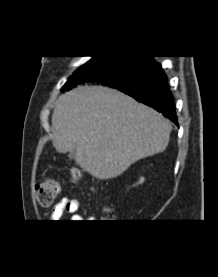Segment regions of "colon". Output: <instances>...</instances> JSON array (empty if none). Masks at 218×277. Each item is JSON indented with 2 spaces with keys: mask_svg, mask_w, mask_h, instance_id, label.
<instances>
[{
  "mask_svg": "<svg viewBox=\"0 0 218 277\" xmlns=\"http://www.w3.org/2000/svg\"><path fill=\"white\" fill-rule=\"evenodd\" d=\"M70 178L75 183H80L81 174L77 169H71ZM60 183L54 178H46L36 186V197L39 205L47 207L52 205L59 196Z\"/></svg>",
  "mask_w": 218,
  "mask_h": 277,
  "instance_id": "5ec220e1",
  "label": "colon"
}]
</instances>
